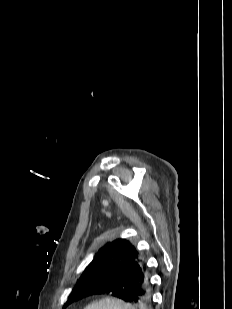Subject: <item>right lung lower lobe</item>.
Segmentation results:
<instances>
[{
  "label": "right lung lower lobe",
  "mask_w": 232,
  "mask_h": 309,
  "mask_svg": "<svg viewBox=\"0 0 232 309\" xmlns=\"http://www.w3.org/2000/svg\"><path fill=\"white\" fill-rule=\"evenodd\" d=\"M117 273L131 275V280H117L114 283H105L90 286L86 297L96 294L111 293L113 296L134 304L136 309H151V285L145 264L141 262H128L119 265Z\"/></svg>",
  "instance_id": "98d812e1"
}]
</instances>
